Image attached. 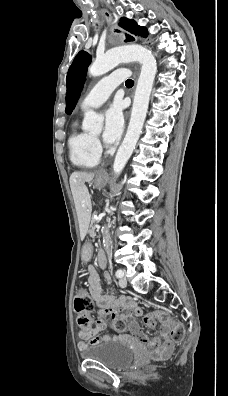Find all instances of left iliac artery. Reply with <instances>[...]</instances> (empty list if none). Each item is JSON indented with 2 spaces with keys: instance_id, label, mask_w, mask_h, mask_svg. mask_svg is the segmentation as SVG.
<instances>
[{
  "instance_id": "obj_1",
  "label": "left iliac artery",
  "mask_w": 228,
  "mask_h": 396,
  "mask_svg": "<svg viewBox=\"0 0 228 396\" xmlns=\"http://www.w3.org/2000/svg\"><path fill=\"white\" fill-rule=\"evenodd\" d=\"M115 275H116L117 278H121V277H123L124 272H123L121 269H118V270L115 272Z\"/></svg>"
}]
</instances>
